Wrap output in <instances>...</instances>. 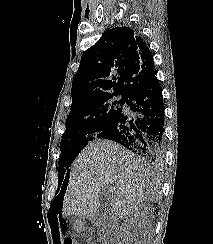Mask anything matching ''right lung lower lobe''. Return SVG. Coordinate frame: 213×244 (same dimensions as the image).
<instances>
[{"mask_svg": "<svg viewBox=\"0 0 213 244\" xmlns=\"http://www.w3.org/2000/svg\"><path fill=\"white\" fill-rule=\"evenodd\" d=\"M132 114L120 113L115 122L97 134L117 142L137 155L154 162L163 156L164 104L158 79L153 72L128 99ZM68 177L63 181L65 190Z\"/></svg>", "mask_w": 213, "mask_h": 244, "instance_id": "98d812e1", "label": "right lung lower lobe"}]
</instances>
